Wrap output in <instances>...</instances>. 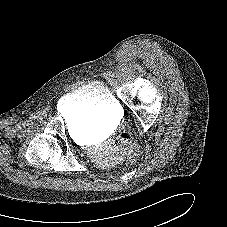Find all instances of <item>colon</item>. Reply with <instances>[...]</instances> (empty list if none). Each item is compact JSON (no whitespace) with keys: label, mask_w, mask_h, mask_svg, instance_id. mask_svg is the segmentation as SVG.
Here are the masks:
<instances>
[{"label":"colon","mask_w":227,"mask_h":227,"mask_svg":"<svg viewBox=\"0 0 227 227\" xmlns=\"http://www.w3.org/2000/svg\"><path fill=\"white\" fill-rule=\"evenodd\" d=\"M115 144L126 152L130 161H135L139 156L140 149L138 144L133 142L127 133L119 134Z\"/></svg>","instance_id":"obj_1"}]
</instances>
